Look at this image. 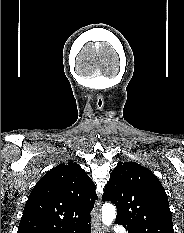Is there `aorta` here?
<instances>
[{
	"label": "aorta",
	"mask_w": 184,
	"mask_h": 233,
	"mask_svg": "<svg viewBox=\"0 0 184 233\" xmlns=\"http://www.w3.org/2000/svg\"><path fill=\"white\" fill-rule=\"evenodd\" d=\"M116 216L115 206L110 203H105L102 206V222L106 226H110Z\"/></svg>",
	"instance_id": "1"
}]
</instances>
